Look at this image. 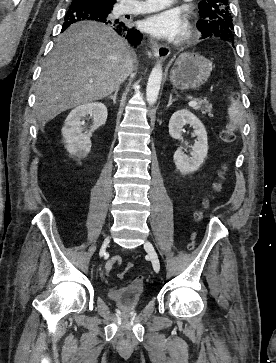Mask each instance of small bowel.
<instances>
[{"label":"small bowel","mask_w":276,"mask_h":363,"mask_svg":"<svg viewBox=\"0 0 276 363\" xmlns=\"http://www.w3.org/2000/svg\"><path fill=\"white\" fill-rule=\"evenodd\" d=\"M122 258L120 256H113L109 258L105 264V272L108 274L115 265H120Z\"/></svg>","instance_id":"c3829d8e"}]
</instances>
